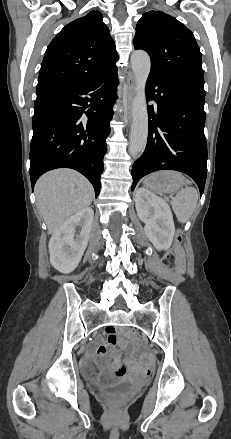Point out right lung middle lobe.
<instances>
[{
	"instance_id": "obj_1",
	"label": "right lung middle lobe",
	"mask_w": 231,
	"mask_h": 439,
	"mask_svg": "<svg viewBox=\"0 0 231 439\" xmlns=\"http://www.w3.org/2000/svg\"><path fill=\"white\" fill-rule=\"evenodd\" d=\"M47 110L45 109V110H40V111H36V113H38V114H42L43 112H46Z\"/></svg>"
}]
</instances>
